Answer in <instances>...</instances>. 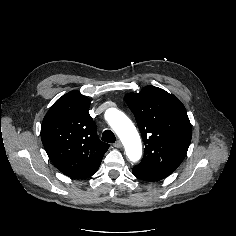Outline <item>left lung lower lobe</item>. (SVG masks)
<instances>
[{
	"mask_svg": "<svg viewBox=\"0 0 236 236\" xmlns=\"http://www.w3.org/2000/svg\"><path fill=\"white\" fill-rule=\"evenodd\" d=\"M132 173L137 178L150 182L160 181L165 178L164 176L151 172L147 167L141 165L134 166Z\"/></svg>",
	"mask_w": 236,
	"mask_h": 236,
	"instance_id": "left-lung-lower-lobe-1",
	"label": "left lung lower lobe"
}]
</instances>
